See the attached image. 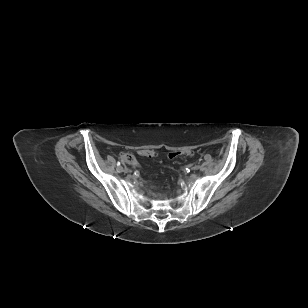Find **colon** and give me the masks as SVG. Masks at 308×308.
Instances as JSON below:
<instances>
[{
  "mask_svg": "<svg viewBox=\"0 0 308 308\" xmlns=\"http://www.w3.org/2000/svg\"><path fill=\"white\" fill-rule=\"evenodd\" d=\"M141 155L146 156V157H153L155 155V152L150 149H144L141 151ZM191 155H192L191 151L172 152L169 154V158L174 159L178 156H191ZM121 159L125 163H130L133 165L135 164L133 157L128 153L121 154Z\"/></svg>",
  "mask_w": 308,
  "mask_h": 308,
  "instance_id": "obj_1",
  "label": "colon"
}]
</instances>
